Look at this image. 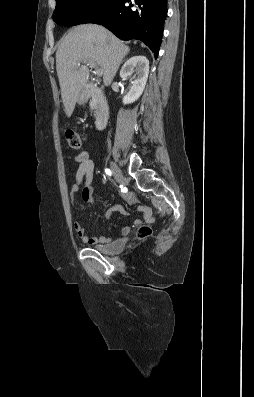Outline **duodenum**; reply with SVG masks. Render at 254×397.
Here are the masks:
<instances>
[{
    "instance_id": "duodenum-1",
    "label": "duodenum",
    "mask_w": 254,
    "mask_h": 397,
    "mask_svg": "<svg viewBox=\"0 0 254 397\" xmlns=\"http://www.w3.org/2000/svg\"><path fill=\"white\" fill-rule=\"evenodd\" d=\"M85 95L87 97H96L98 100L97 112L95 116V127L103 129L109 118V104L103 91L96 85L87 84L85 86Z\"/></svg>"
}]
</instances>
